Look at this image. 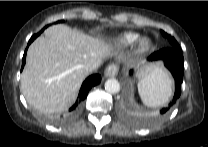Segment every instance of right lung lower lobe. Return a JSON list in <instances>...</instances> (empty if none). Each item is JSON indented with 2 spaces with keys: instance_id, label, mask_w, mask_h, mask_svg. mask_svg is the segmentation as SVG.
<instances>
[{
  "instance_id": "98d812e1",
  "label": "right lung lower lobe",
  "mask_w": 208,
  "mask_h": 147,
  "mask_svg": "<svg viewBox=\"0 0 208 147\" xmlns=\"http://www.w3.org/2000/svg\"><path fill=\"white\" fill-rule=\"evenodd\" d=\"M41 32H43V31H41ZM41 32H39L38 34H35V35H33V36L31 37V39H30L29 42H28V46L31 44V42H33V40H34L36 37H38V36L40 35ZM28 46H27V47H28ZM26 52H27V48H26V50H25V52H24L23 59H22V69H23V67H24V65H25V62H26ZM100 81H101V76L98 75V74H96V75H91L90 77H88V78L83 82V84H82V86H81V89H80V92H79V99H80V101L84 100V99L87 97V94H88L89 90H90L93 86L99 84ZM76 106H77V102H76L75 105L70 109V111L74 110Z\"/></svg>"
}]
</instances>
